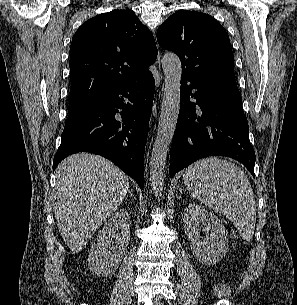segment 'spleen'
I'll return each instance as SVG.
<instances>
[{
	"label": "spleen",
	"mask_w": 297,
	"mask_h": 305,
	"mask_svg": "<svg viewBox=\"0 0 297 305\" xmlns=\"http://www.w3.org/2000/svg\"><path fill=\"white\" fill-rule=\"evenodd\" d=\"M183 178L194 198L229 218L244 240L252 239L255 198L248 177L237 165L216 157L205 158L186 168Z\"/></svg>",
	"instance_id": "1"
}]
</instances>
